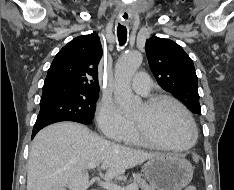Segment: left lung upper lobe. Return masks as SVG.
<instances>
[{
  "label": "left lung upper lobe",
  "instance_id": "1",
  "mask_svg": "<svg viewBox=\"0 0 234 190\" xmlns=\"http://www.w3.org/2000/svg\"><path fill=\"white\" fill-rule=\"evenodd\" d=\"M145 50L153 75L163 89L178 97L194 114H201L197 75L188 54L172 40L147 39Z\"/></svg>",
  "mask_w": 234,
  "mask_h": 190
}]
</instances>
